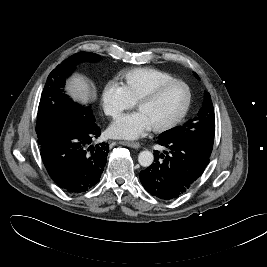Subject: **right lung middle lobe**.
Listing matches in <instances>:
<instances>
[{
  "mask_svg": "<svg viewBox=\"0 0 267 267\" xmlns=\"http://www.w3.org/2000/svg\"><path fill=\"white\" fill-rule=\"evenodd\" d=\"M97 60V54L79 52L63 61L50 73L41 94L37 114L36 133L39 144L63 126L78 128L95 121L90 106L84 107L73 102L65 94L63 87L76 64Z\"/></svg>",
  "mask_w": 267,
  "mask_h": 267,
  "instance_id": "1",
  "label": "right lung middle lobe"
}]
</instances>
